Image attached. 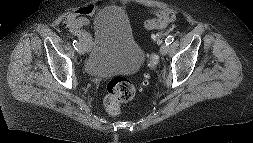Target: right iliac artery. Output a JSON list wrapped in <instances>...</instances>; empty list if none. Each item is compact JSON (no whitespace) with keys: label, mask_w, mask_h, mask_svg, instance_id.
<instances>
[{"label":"right iliac artery","mask_w":253,"mask_h":143,"mask_svg":"<svg viewBox=\"0 0 253 143\" xmlns=\"http://www.w3.org/2000/svg\"><path fill=\"white\" fill-rule=\"evenodd\" d=\"M73 46L76 50H78V47H79V42L77 40H73Z\"/></svg>","instance_id":"obj_1"}]
</instances>
